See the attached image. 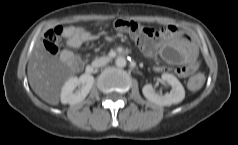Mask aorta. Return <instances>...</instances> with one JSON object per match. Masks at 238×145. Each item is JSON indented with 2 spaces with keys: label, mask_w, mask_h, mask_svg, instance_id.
Masks as SVG:
<instances>
[{
  "label": "aorta",
  "mask_w": 238,
  "mask_h": 145,
  "mask_svg": "<svg viewBox=\"0 0 238 145\" xmlns=\"http://www.w3.org/2000/svg\"><path fill=\"white\" fill-rule=\"evenodd\" d=\"M115 64L117 67H125L126 66V59L124 57H118L115 60Z\"/></svg>",
  "instance_id": "1"
}]
</instances>
